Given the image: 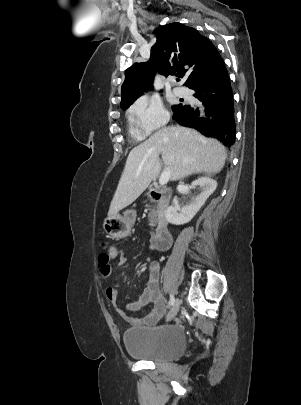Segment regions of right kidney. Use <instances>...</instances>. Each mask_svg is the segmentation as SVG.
I'll return each mask as SVG.
<instances>
[{"label": "right kidney", "mask_w": 301, "mask_h": 405, "mask_svg": "<svg viewBox=\"0 0 301 405\" xmlns=\"http://www.w3.org/2000/svg\"><path fill=\"white\" fill-rule=\"evenodd\" d=\"M191 187H197L200 193L181 209L177 204L169 206L165 213L166 220L169 223L182 225L191 221L207 198L216 190L217 182L210 177L204 176L193 181Z\"/></svg>", "instance_id": "1"}]
</instances>
